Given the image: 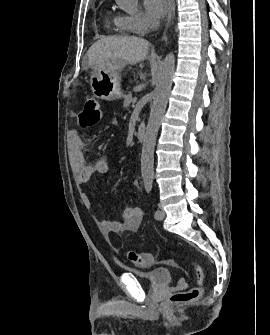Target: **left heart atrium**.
<instances>
[{
  "mask_svg": "<svg viewBox=\"0 0 270 335\" xmlns=\"http://www.w3.org/2000/svg\"><path fill=\"white\" fill-rule=\"evenodd\" d=\"M145 8L149 16L158 26L159 20L168 13V3L163 0H145Z\"/></svg>",
  "mask_w": 270,
  "mask_h": 335,
  "instance_id": "left-heart-atrium-1",
  "label": "left heart atrium"
}]
</instances>
